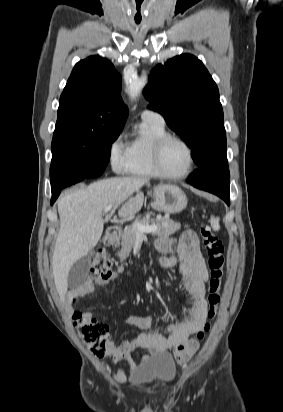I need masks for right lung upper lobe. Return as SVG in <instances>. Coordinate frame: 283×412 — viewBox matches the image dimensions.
Here are the masks:
<instances>
[{"instance_id":"right-lung-upper-lobe-1","label":"right lung upper lobe","mask_w":283,"mask_h":412,"mask_svg":"<svg viewBox=\"0 0 283 412\" xmlns=\"http://www.w3.org/2000/svg\"><path fill=\"white\" fill-rule=\"evenodd\" d=\"M121 76L99 56L79 61L63 90L58 120L79 119L97 132L122 131L127 107L120 96Z\"/></svg>"}]
</instances>
